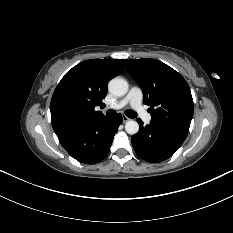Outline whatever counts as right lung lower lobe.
Returning <instances> with one entry per match:
<instances>
[{
  "label": "right lung lower lobe",
  "mask_w": 233,
  "mask_h": 233,
  "mask_svg": "<svg viewBox=\"0 0 233 233\" xmlns=\"http://www.w3.org/2000/svg\"><path fill=\"white\" fill-rule=\"evenodd\" d=\"M122 123V115L96 117L55 131L61 145L77 161L95 164L104 159L113 137Z\"/></svg>",
  "instance_id": "98d812e1"
}]
</instances>
